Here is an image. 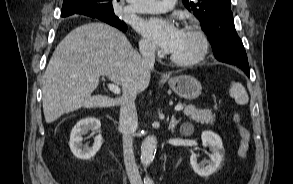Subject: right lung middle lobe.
Here are the masks:
<instances>
[{"instance_id":"right-lung-middle-lobe-1","label":"right lung middle lobe","mask_w":293,"mask_h":184,"mask_svg":"<svg viewBox=\"0 0 293 184\" xmlns=\"http://www.w3.org/2000/svg\"><path fill=\"white\" fill-rule=\"evenodd\" d=\"M84 5L88 8L90 12L94 13L98 17L110 19L113 21H119V18L116 17L113 9H105L100 4H94L92 2H84Z\"/></svg>"}]
</instances>
